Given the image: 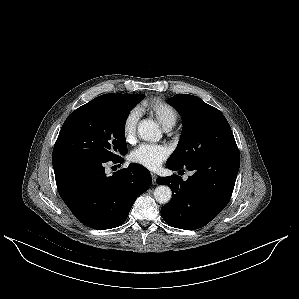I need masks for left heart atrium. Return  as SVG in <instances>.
<instances>
[{"mask_svg":"<svg viewBox=\"0 0 299 299\" xmlns=\"http://www.w3.org/2000/svg\"><path fill=\"white\" fill-rule=\"evenodd\" d=\"M168 149L160 144H142L130 155L131 161L147 169L155 170L168 157Z\"/></svg>","mask_w":299,"mask_h":299,"instance_id":"left-heart-atrium-1","label":"left heart atrium"}]
</instances>
